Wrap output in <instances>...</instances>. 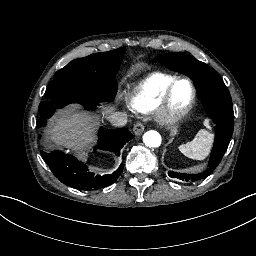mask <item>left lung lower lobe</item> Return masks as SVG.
I'll use <instances>...</instances> for the list:
<instances>
[{"mask_svg": "<svg viewBox=\"0 0 256 256\" xmlns=\"http://www.w3.org/2000/svg\"><path fill=\"white\" fill-rule=\"evenodd\" d=\"M168 174L170 177H176V178H179V179L187 181V182H196V181L201 180V179H199L200 176H198V175L180 174V173H175L172 171H170Z\"/></svg>", "mask_w": 256, "mask_h": 256, "instance_id": "obj_1", "label": "left lung lower lobe"}]
</instances>
